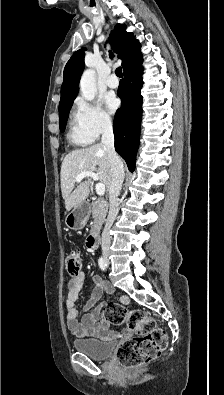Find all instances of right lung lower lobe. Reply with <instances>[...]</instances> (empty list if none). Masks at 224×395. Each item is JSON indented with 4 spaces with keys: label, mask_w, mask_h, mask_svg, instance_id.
<instances>
[{
    "label": "right lung lower lobe",
    "mask_w": 224,
    "mask_h": 395,
    "mask_svg": "<svg viewBox=\"0 0 224 395\" xmlns=\"http://www.w3.org/2000/svg\"><path fill=\"white\" fill-rule=\"evenodd\" d=\"M143 67L142 55L124 69V79L120 82L118 96L121 108L115 114L113 131L115 150L126 161L128 168H135L139 144L140 122L142 116L141 88Z\"/></svg>",
    "instance_id": "obj_1"
}]
</instances>
